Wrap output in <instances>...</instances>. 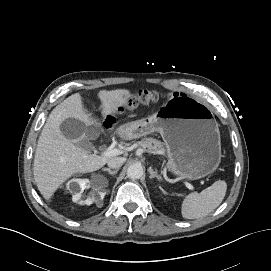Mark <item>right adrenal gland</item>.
<instances>
[{
  "mask_svg": "<svg viewBox=\"0 0 271 271\" xmlns=\"http://www.w3.org/2000/svg\"><path fill=\"white\" fill-rule=\"evenodd\" d=\"M103 171H107L109 174L114 175L118 172V169L111 170L110 168H103Z\"/></svg>",
  "mask_w": 271,
  "mask_h": 271,
  "instance_id": "obj_1",
  "label": "right adrenal gland"
}]
</instances>
